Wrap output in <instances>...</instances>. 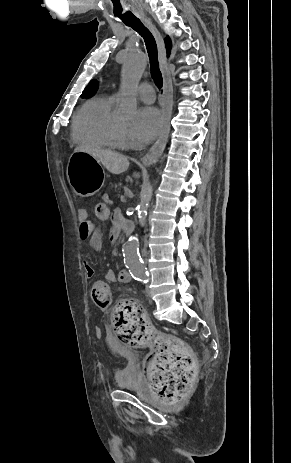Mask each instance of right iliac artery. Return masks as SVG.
Wrapping results in <instances>:
<instances>
[{"label": "right iliac artery", "instance_id": "obj_1", "mask_svg": "<svg viewBox=\"0 0 291 463\" xmlns=\"http://www.w3.org/2000/svg\"><path fill=\"white\" fill-rule=\"evenodd\" d=\"M137 280L143 281L144 283L148 282L147 277L138 278Z\"/></svg>", "mask_w": 291, "mask_h": 463}]
</instances>
